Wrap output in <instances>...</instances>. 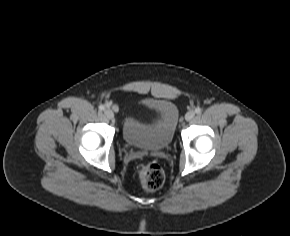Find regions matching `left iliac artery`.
<instances>
[{
	"mask_svg": "<svg viewBox=\"0 0 290 236\" xmlns=\"http://www.w3.org/2000/svg\"><path fill=\"white\" fill-rule=\"evenodd\" d=\"M195 113H197V114L201 113V108L197 107V108L195 109Z\"/></svg>",
	"mask_w": 290,
	"mask_h": 236,
	"instance_id": "44dca946",
	"label": "left iliac artery"
}]
</instances>
